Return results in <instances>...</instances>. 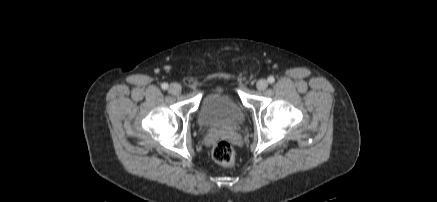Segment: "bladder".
<instances>
[{"label":"bladder","mask_w":437,"mask_h":202,"mask_svg":"<svg viewBox=\"0 0 437 202\" xmlns=\"http://www.w3.org/2000/svg\"><path fill=\"white\" fill-rule=\"evenodd\" d=\"M240 103L229 93L207 94L200 106L198 122L203 127L233 126L244 120Z\"/></svg>","instance_id":"obj_1"}]
</instances>
